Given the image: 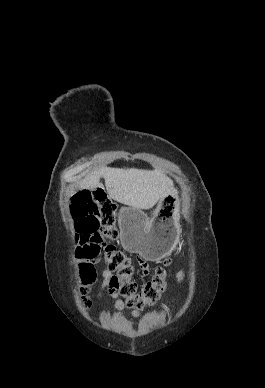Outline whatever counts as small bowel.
Segmentation results:
<instances>
[{
  "mask_svg": "<svg viewBox=\"0 0 265 388\" xmlns=\"http://www.w3.org/2000/svg\"><path fill=\"white\" fill-rule=\"evenodd\" d=\"M138 264H139V267L142 271V274L144 276H147L148 273H149V266H148V263L142 259H139L138 260ZM184 270H180L178 273H177V280L179 282H181L183 279H184ZM102 276L104 278V282L102 284V287H101V290H100V295L103 291H106L108 294H110L112 297H114L116 299V302H115V306H116V309L118 311H123L124 308H125V305L124 303L118 299L117 297V293H116V289L114 288V285H113V273L108 270V269H105L102 273ZM132 315L134 317H139L140 316V313L137 312V311H134L132 313ZM106 324H109V325H112L115 327L116 330L120 331V332H123V331H126L128 329V323L122 319V318H116V319H112V320H105Z\"/></svg>",
  "mask_w": 265,
  "mask_h": 388,
  "instance_id": "c3829d8e",
  "label": "small bowel"
}]
</instances>
